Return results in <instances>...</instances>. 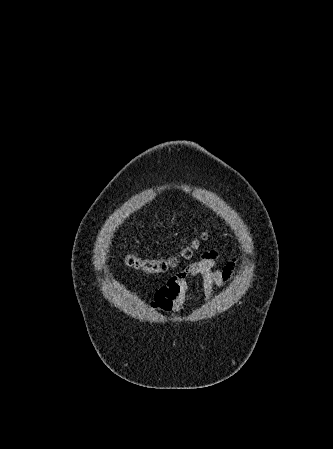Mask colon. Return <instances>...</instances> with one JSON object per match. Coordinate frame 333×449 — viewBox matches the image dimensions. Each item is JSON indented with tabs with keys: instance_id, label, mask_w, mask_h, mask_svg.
Returning a JSON list of instances; mask_svg holds the SVG:
<instances>
[{
	"instance_id": "5ec220e1",
	"label": "colon",
	"mask_w": 333,
	"mask_h": 449,
	"mask_svg": "<svg viewBox=\"0 0 333 449\" xmlns=\"http://www.w3.org/2000/svg\"><path fill=\"white\" fill-rule=\"evenodd\" d=\"M208 232H202L190 243L182 247L177 256L144 258L130 254L125 257L127 266L139 270L145 274H161L174 267L179 259H189L199 248L200 244L208 239Z\"/></svg>"
}]
</instances>
